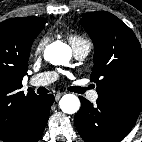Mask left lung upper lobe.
I'll list each match as a JSON object with an SVG mask.
<instances>
[{"label": "left lung upper lobe", "instance_id": "obj_1", "mask_svg": "<svg viewBox=\"0 0 142 142\" xmlns=\"http://www.w3.org/2000/svg\"><path fill=\"white\" fill-rule=\"evenodd\" d=\"M81 24L94 43L91 80L98 98L138 117L142 108V52L133 31L109 12L86 13Z\"/></svg>", "mask_w": 142, "mask_h": 142}]
</instances>
